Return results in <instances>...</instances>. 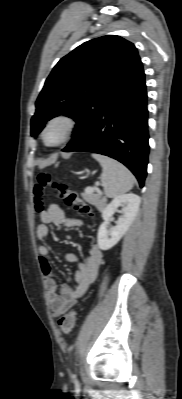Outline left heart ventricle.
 Masks as SVG:
<instances>
[{
    "mask_svg": "<svg viewBox=\"0 0 182 399\" xmlns=\"http://www.w3.org/2000/svg\"><path fill=\"white\" fill-rule=\"evenodd\" d=\"M63 134L64 126L60 123L53 124L46 132V141L49 144H55L62 139Z\"/></svg>",
    "mask_w": 182,
    "mask_h": 399,
    "instance_id": "left-heart-ventricle-1",
    "label": "left heart ventricle"
}]
</instances>
